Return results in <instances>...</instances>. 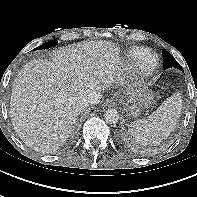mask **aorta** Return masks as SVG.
<instances>
[{
    "label": "aorta",
    "mask_w": 197,
    "mask_h": 197,
    "mask_svg": "<svg viewBox=\"0 0 197 197\" xmlns=\"http://www.w3.org/2000/svg\"><path fill=\"white\" fill-rule=\"evenodd\" d=\"M104 119L108 123L115 124L119 120V113L115 109H107L104 113Z\"/></svg>",
    "instance_id": "obj_1"
}]
</instances>
